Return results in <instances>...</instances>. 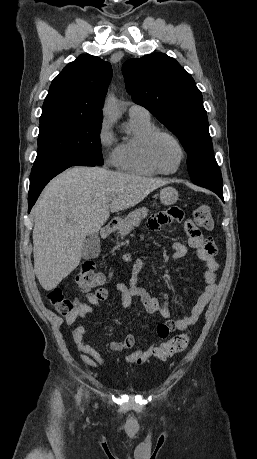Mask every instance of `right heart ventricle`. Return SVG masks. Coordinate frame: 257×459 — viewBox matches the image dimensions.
I'll return each mask as SVG.
<instances>
[{
	"mask_svg": "<svg viewBox=\"0 0 257 459\" xmlns=\"http://www.w3.org/2000/svg\"><path fill=\"white\" fill-rule=\"evenodd\" d=\"M130 133L117 146L115 166L124 172L136 175L153 176L158 172L148 163L144 145L147 137L156 130L150 116L130 115Z\"/></svg>",
	"mask_w": 257,
	"mask_h": 459,
	"instance_id": "right-heart-ventricle-1",
	"label": "right heart ventricle"
}]
</instances>
